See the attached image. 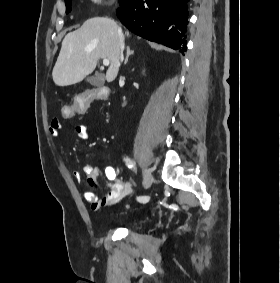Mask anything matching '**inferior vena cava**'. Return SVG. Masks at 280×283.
Returning <instances> with one entry per match:
<instances>
[{"mask_svg": "<svg viewBox=\"0 0 280 283\" xmlns=\"http://www.w3.org/2000/svg\"><path fill=\"white\" fill-rule=\"evenodd\" d=\"M120 31V30H119ZM120 51H119V58H120V61L123 60V49H124V38L123 36L120 34Z\"/></svg>", "mask_w": 280, "mask_h": 283, "instance_id": "602c4592", "label": "inferior vena cava"}]
</instances>
